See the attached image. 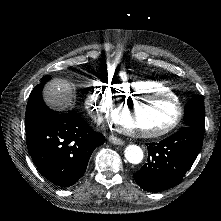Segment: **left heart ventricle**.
Returning a JSON list of instances; mask_svg holds the SVG:
<instances>
[{
    "instance_id": "left-heart-ventricle-1",
    "label": "left heart ventricle",
    "mask_w": 221,
    "mask_h": 221,
    "mask_svg": "<svg viewBox=\"0 0 221 221\" xmlns=\"http://www.w3.org/2000/svg\"><path fill=\"white\" fill-rule=\"evenodd\" d=\"M173 114V106L161 100L135 101L118 104L113 111L116 122L129 126L133 133L165 124Z\"/></svg>"
}]
</instances>
